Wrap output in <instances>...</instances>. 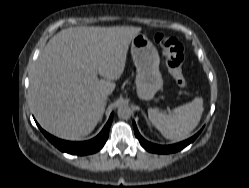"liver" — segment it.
Listing matches in <instances>:
<instances>
[{
    "instance_id": "6515ba94",
    "label": "liver",
    "mask_w": 249,
    "mask_h": 188,
    "mask_svg": "<svg viewBox=\"0 0 249 188\" xmlns=\"http://www.w3.org/2000/svg\"><path fill=\"white\" fill-rule=\"evenodd\" d=\"M140 31L132 26L72 27L52 37L32 77V111L40 126L66 140L90 134Z\"/></svg>"
}]
</instances>
